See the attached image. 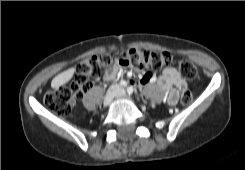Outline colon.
Here are the masks:
<instances>
[{"mask_svg":"<svg viewBox=\"0 0 245 170\" xmlns=\"http://www.w3.org/2000/svg\"><path fill=\"white\" fill-rule=\"evenodd\" d=\"M172 56L164 52L144 51L135 48L128 49L118 55L103 54L90 56L81 60L77 66L75 81L70 86H61L50 90L44 95L45 105L59 115H68L73 109L74 102L81 95L88 91L102 69L112 65H119L125 68H141L161 70L169 65ZM180 74L189 80L197 76V69L188 60H182L179 64ZM193 100L192 94L185 90L181 92L180 103L189 105Z\"/></svg>","mask_w":245,"mask_h":170,"instance_id":"1","label":"colon"}]
</instances>
